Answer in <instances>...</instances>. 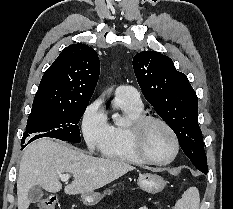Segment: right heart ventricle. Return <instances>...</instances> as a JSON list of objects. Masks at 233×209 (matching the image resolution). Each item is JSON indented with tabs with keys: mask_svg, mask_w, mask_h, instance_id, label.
I'll use <instances>...</instances> for the list:
<instances>
[{
	"mask_svg": "<svg viewBox=\"0 0 233 209\" xmlns=\"http://www.w3.org/2000/svg\"><path fill=\"white\" fill-rule=\"evenodd\" d=\"M115 105L123 111L128 122L126 124L110 126L109 139L100 149L101 154L114 161L135 165L144 164V162L137 157L131 147L129 131L130 123L143 115L142 104H132L116 97Z\"/></svg>",
	"mask_w": 233,
	"mask_h": 209,
	"instance_id": "1",
	"label": "right heart ventricle"
}]
</instances>
